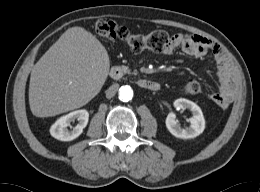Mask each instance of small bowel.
<instances>
[{
  "label": "small bowel",
  "instance_id": "c3829d8e",
  "mask_svg": "<svg viewBox=\"0 0 260 192\" xmlns=\"http://www.w3.org/2000/svg\"><path fill=\"white\" fill-rule=\"evenodd\" d=\"M185 54L201 58L211 52L217 64V75L220 81L219 92L210 95V98L220 107H228L237 94L236 79L233 69L224 51L215 42L197 34L175 35L174 41L164 49L166 55L172 54L176 49Z\"/></svg>",
  "mask_w": 260,
  "mask_h": 192
}]
</instances>
